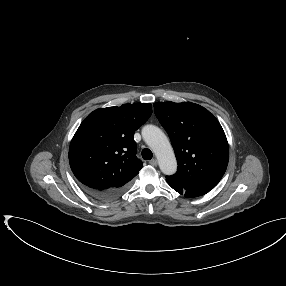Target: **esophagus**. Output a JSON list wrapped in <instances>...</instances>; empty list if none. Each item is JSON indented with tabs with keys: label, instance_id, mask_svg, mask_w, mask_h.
I'll return each mask as SVG.
<instances>
[{
	"label": "esophagus",
	"instance_id": "34e87169",
	"mask_svg": "<svg viewBox=\"0 0 286 286\" xmlns=\"http://www.w3.org/2000/svg\"><path fill=\"white\" fill-rule=\"evenodd\" d=\"M150 165H152V166H157V164H158V161H157V159H152L150 162Z\"/></svg>",
	"mask_w": 286,
	"mask_h": 286
}]
</instances>
